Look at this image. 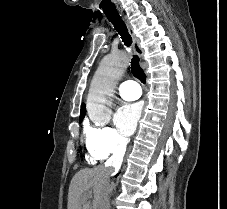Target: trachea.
Listing matches in <instances>:
<instances>
[{"label": "trachea", "instance_id": "trachea-1", "mask_svg": "<svg viewBox=\"0 0 227 209\" xmlns=\"http://www.w3.org/2000/svg\"><path fill=\"white\" fill-rule=\"evenodd\" d=\"M106 17L108 18L109 22L114 25L115 30L119 33L126 47H130V45L132 44V38L131 35H129L128 29L122 18L120 17L119 13H109L106 14ZM130 68L131 73L134 75V77L139 79L144 84L146 81V75L139 65V57H137V55H134L131 59Z\"/></svg>", "mask_w": 227, "mask_h": 209}]
</instances>
